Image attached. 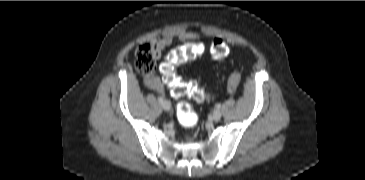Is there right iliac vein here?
Returning <instances> with one entry per match:
<instances>
[{"instance_id":"right-iliac-vein-1","label":"right iliac vein","mask_w":365,"mask_h":180,"mask_svg":"<svg viewBox=\"0 0 365 180\" xmlns=\"http://www.w3.org/2000/svg\"><path fill=\"white\" fill-rule=\"evenodd\" d=\"M162 108L165 110V111H169L171 109V104L167 101V100H164L162 103Z\"/></svg>"}]
</instances>
